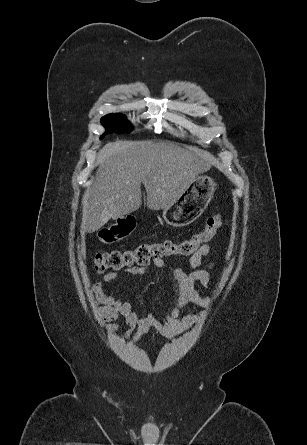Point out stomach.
I'll return each mask as SVG.
<instances>
[{
	"label": "stomach",
	"mask_w": 307,
	"mask_h": 445,
	"mask_svg": "<svg viewBox=\"0 0 307 445\" xmlns=\"http://www.w3.org/2000/svg\"><path fill=\"white\" fill-rule=\"evenodd\" d=\"M215 190L216 184L211 176H195L183 194L171 202L170 206L163 208V218L167 225L187 227L194 223L207 208Z\"/></svg>",
	"instance_id": "0dacf381"
}]
</instances>
